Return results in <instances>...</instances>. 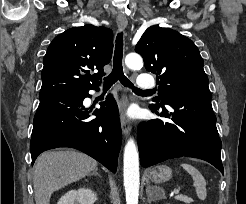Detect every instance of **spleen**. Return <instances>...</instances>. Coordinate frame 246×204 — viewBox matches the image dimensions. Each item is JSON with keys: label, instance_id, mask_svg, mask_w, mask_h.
<instances>
[{"label": "spleen", "instance_id": "obj_1", "mask_svg": "<svg viewBox=\"0 0 246 204\" xmlns=\"http://www.w3.org/2000/svg\"><path fill=\"white\" fill-rule=\"evenodd\" d=\"M181 166L192 176L193 186L196 189L199 199L204 200L207 196L206 181L203 175L193 165L182 163Z\"/></svg>", "mask_w": 246, "mask_h": 204}]
</instances>
